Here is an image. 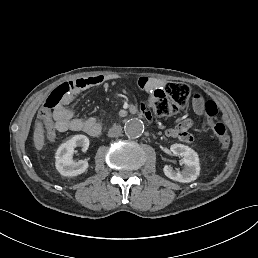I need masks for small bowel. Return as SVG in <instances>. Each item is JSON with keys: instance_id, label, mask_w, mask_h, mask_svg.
I'll return each instance as SVG.
<instances>
[{"instance_id": "small-bowel-1", "label": "small bowel", "mask_w": 258, "mask_h": 258, "mask_svg": "<svg viewBox=\"0 0 258 258\" xmlns=\"http://www.w3.org/2000/svg\"><path fill=\"white\" fill-rule=\"evenodd\" d=\"M118 79L117 75H94L85 78H78L71 82L75 85L74 93H78L93 87H108L110 83ZM137 84L141 89L150 87L151 82L147 78H139ZM72 97L62 106L58 107L50 117L44 118L40 116L45 136L49 141L54 140L56 132L64 131H82L90 136H97L101 131V124L95 117L80 118L75 116L72 108L69 107ZM202 97L196 94L193 98V109L197 114H201ZM142 112L147 118H151L150 112L142 106ZM193 122L189 118L181 119L173 128L166 130V136L179 139L186 143H192L194 136L190 133Z\"/></svg>"}]
</instances>
